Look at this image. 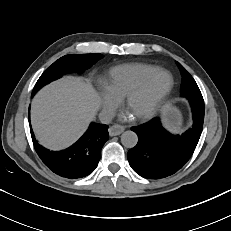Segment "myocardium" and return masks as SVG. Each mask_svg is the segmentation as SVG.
<instances>
[{
  "instance_id": "f54148a6",
  "label": "myocardium",
  "mask_w": 231,
  "mask_h": 231,
  "mask_svg": "<svg viewBox=\"0 0 231 231\" xmlns=\"http://www.w3.org/2000/svg\"><path fill=\"white\" fill-rule=\"evenodd\" d=\"M165 74L169 77V83L160 97L154 102V104L144 112L135 115L136 119L147 120L154 117L164 106L168 98L170 97L174 88V78L172 74L167 70H158L142 80L132 90H130L124 97V106L128 107L132 99L148 88L160 75Z\"/></svg>"
}]
</instances>
